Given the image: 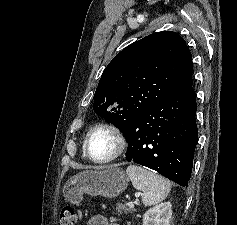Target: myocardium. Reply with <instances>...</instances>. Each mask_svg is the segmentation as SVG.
Masks as SVG:
<instances>
[{
    "label": "myocardium",
    "mask_w": 237,
    "mask_h": 225,
    "mask_svg": "<svg viewBox=\"0 0 237 225\" xmlns=\"http://www.w3.org/2000/svg\"><path fill=\"white\" fill-rule=\"evenodd\" d=\"M97 132H106L110 134L115 143L114 149L111 152V154H109L108 156L104 158H96L92 156L90 153V149H89L90 139ZM126 146H127V142H126L125 136L119 128L109 123H100L92 127L86 134L85 139H84L83 149H84L85 155L91 161L98 164H107L119 158L125 151Z\"/></svg>",
    "instance_id": "1"
}]
</instances>
